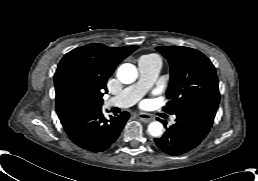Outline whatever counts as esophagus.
Masks as SVG:
<instances>
[{
  "label": "esophagus",
  "mask_w": 258,
  "mask_h": 181,
  "mask_svg": "<svg viewBox=\"0 0 258 181\" xmlns=\"http://www.w3.org/2000/svg\"><path fill=\"white\" fill-rule=\"evenodd\" d=\"M137 117L144 123H148L153 120V117L147 113H139Z\"/></svg>",
  "instance_id": "34e87169"
}]
</instances>
